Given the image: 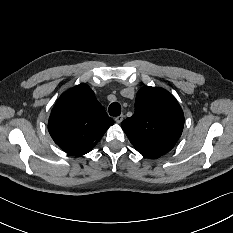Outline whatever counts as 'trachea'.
I'll list each match as a JSON object with an SVG mask.
<instances>
[{
  "label": "trachea",
  "mask_w": 233,
  "mask_h": 233,
  "mask_svg": "<svg viewBox=\"0 0 233 233\" xmlns=\"http://www.w3.org/2000/svg\"><path fill=\"white\" fill-rule=\"evenodd\" d=\"M121 113V106L118 102H113L111 103V105L109 106V114L111 116H119Z\"/></svg>",
  "instance_id": "trachea-1"
}]
</instances>
